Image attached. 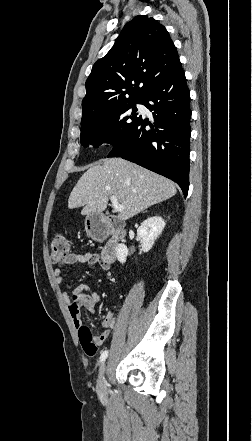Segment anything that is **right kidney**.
<instances>
[{
    "instance_id": "1",
    "label": "right kidney",
    "mask_w": 252,
    "mask_h": 441,
    "mask_svg": "<svg viewBox=\"0 0 252 441\" xmlns=\"http://www.w3.org/2000/svg\"><path fill=\"white\" fill-rule=\"evenodd\" d=\"M165 227V221L160 216H153L146 219L137 229V237L142 245V251L148 252L154 245ZM117 259L125 263L128 256V248L125 244H119L116 249Z\"/></svg>"
}]
</instances>
